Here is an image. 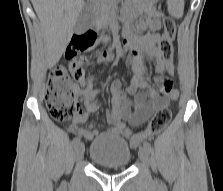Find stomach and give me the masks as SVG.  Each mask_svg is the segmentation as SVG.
<instances>
[{
	"instance_id": "0dacf381",
	"label": "stomach",
	"mask_w": 223,
	"mask_h": 191,
	"mask_svg": "<svg viewBox=\"0 0 223 191\" xmlns=\"http://www.w3.org/2000/svg\"><path fill=\"white\" fill-rule=\"evenodd\" d=\"M154 2H157L158 0H153Z\"/></svg>"
}]
</instances>
